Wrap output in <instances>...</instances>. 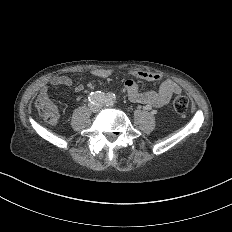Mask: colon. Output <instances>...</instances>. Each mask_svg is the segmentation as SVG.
<instances>
[{
  "instance_id": "obj_1",
  "label": "colon",
  "mask_w": 232,
  "mask_h": 232,
  "mask_svg": "<svg viewBox=\"0 0 232 232\" xmlns=\"http://www.w3.org/2000/svg\"><path fill=\"white\" fill-rule=\"evenodd\" d=\"M51 100V96H37V108L39 113H48L46 120L48 121L49 129H54V125L57 124L55 119L59 118L60 113L58 108L48 105ZM172 107H174V114H188L192 111L193 104L186 94H177L172 102Z\"/></svg>"
}]
</instances>
